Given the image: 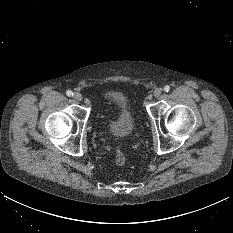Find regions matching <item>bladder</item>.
<instances>
[{"label":"bladder","mask_w":233,"mask_h":233,"mask_svg":"<svg viewBox=\"0 0 233 233\" xmlns=\"http://www.w3.org/2000/svg\"><path fill=\"white\" fill-rule=\"evenodd\" d=\"M106 103L115 109V114L107 121L109 134L118 139L129 138L135 129L134 118L128 108L127 98L122 92H110Z\"/></svg>","instance_id":"1"}]
</instances>
